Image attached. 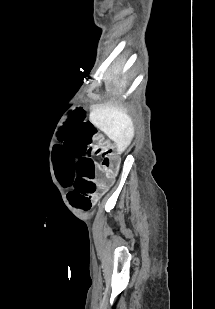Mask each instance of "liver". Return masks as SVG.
<instances>
[{
  "mask_svg": "<svg viewBox=\"0 0 215 309\" xmlns=\"http://www.w3.org/2000/svg\"><path fill=\"white\" fill-rule=\"evenodd\" d=\"M118 68H121L120 64H117ZM115 68L114 72L118 74L120 70ZM114 82H117L116 78ZM119 88L118 92H123L127 84V80H121L117 82ZM116 92V94H118ZM91 122L98 126L100 130H103L111 140H114L117 144L118 152H123L127 146H129L134 136V124L130 114H127L124 108H117V106H105V108H94L90 116Z\"/></svg>",
  "mask_w": 215,
  "mask_h": 309,
  "instance_id": "obj_1",
  "label": "liver"
}]
</instances>
